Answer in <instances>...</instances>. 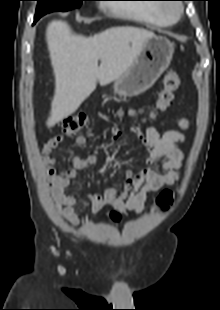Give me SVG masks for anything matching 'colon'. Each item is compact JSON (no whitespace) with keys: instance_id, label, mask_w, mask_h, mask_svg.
Instances as JSON below:
<instances>
[{"instance_id":"obj_1","label":"colon","mask_w":220,"mask_h":310,"mask_svg":"<svg viewBox=\"0 0 220 310\" xmlns=\"http://www.w3.org/2000/svg\"><path fill=\"white\" fill-rule=\"evenodd\" d=\"M180 86L179 74L174 70H168L163 77V86L160 90L154 106L150 111V117H153L156 113L164 111L173 102L176 93ZM86 115L82 112H75L66 115L61 121V127L63 131L68 135H74L80 131L86 124ZM174 192L172 190H163L157 197L156 203L162 211L169 209L173 203ZM111 219L114 222L120 220L118 212L113 211L111 213Z\"/></svg>"}]
</instances>
